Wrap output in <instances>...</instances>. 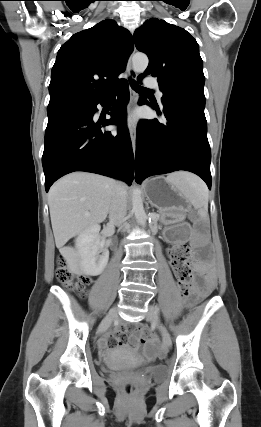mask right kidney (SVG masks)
I'll use <instances>...</instances> for the list:
<instances>
[{
    "instance_id": "obj_1",
    "label": "right kidney",
    "mask_w": 261,
    "mask_h": 427,
    "mask_svg": "<svg viewBox=\"0 0 261 427\" xmlns=\"http://www.w3.org/2000/svg\"><path fill=\"white\" fill-rule=\"evenodd\" d=\"M100 226L84 230L76 238L81 269L86 275L97 276L105 269L109 251L105 247V238L99 234Z\"/></svg>"
}]
</instances>
